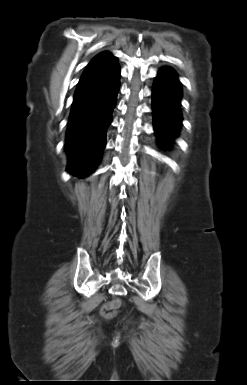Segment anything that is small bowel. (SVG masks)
<instances>
[{
	"label": "small bowel",
	"mask_w": 247,
	"mask_h": 385,
	"mask_svg": "<svg viewBox=\"0 0 247 385\" xmlns=\"http://www.w3.org/2000/svg\"><path fill=\"white\" fill-rule=\"evenodd\" d=\"M121 303V300L117 297L104 302L101 307V314L107 319L114 318L117 315V309L121 306Z\"/></svg>",
	"instance_id": "small-bowel-1"
}]
</instances>
